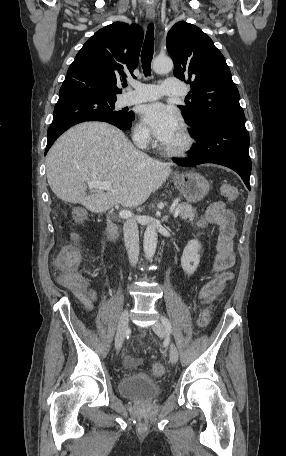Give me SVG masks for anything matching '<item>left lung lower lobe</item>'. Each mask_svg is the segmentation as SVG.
Masks as SVG:
<instances>
[{
    "label": "left lung lower lobe",
    "instance_id": "1",
    "mask_svg": "<svg viewBox=\"0 0 286 456\" xmlns=\"http://www.w3.org/2000/svg\"><path fill=\"white\" fill-rule=\"evenodd\" d=\"M197 141L191 148L190 156L173 159L179 165L192 166L215 163L237 172L250 190L249 178L251 159L249 157V134L245 125L228 121H211L199 130L190 132Z\"/></svg>",
    "mask_w": 286,
    "mask_h": 456
}]
</instances>
